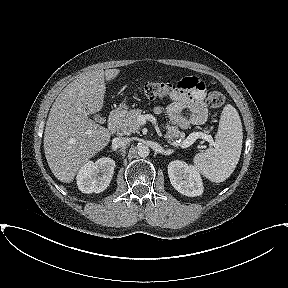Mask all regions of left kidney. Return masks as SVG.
Masks as SVG:
<instances>
[{
    "mask_svg": "<svg viewBox=\"0 0 288 288\" xmlns=\"http://www.w3.org/2000/svg\"><path fill=\"white\" fill-rule=\"evenodd\" d=\"M168 175L172 186L181 194L195 197L203 193L202 179L194 166L179 160L172 161L168 165Z\"/></svg>",
    "mask_w": 288,
    "mask_h": 288,
    "instance_id": "left-kidney-1",
    "label": "left kidney"
}]
</instances>
